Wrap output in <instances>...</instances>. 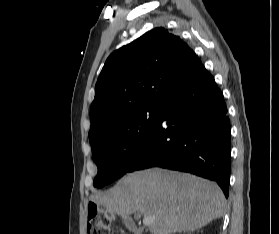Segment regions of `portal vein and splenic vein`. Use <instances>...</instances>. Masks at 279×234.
I'll list each match as a JSON object with an SVG mask.
<instances>
[{
  "label": "portal vein and splenic vein",
  "mask_w": 279,
  "mask_h": 234,
  "mask_svg": "<svg viewBox=\"0 0 279 234\" xmlns=\"http://www.w3.org/2000/svg\"><path fill=\"white\" fill-rule=\"evenodd\" d=\"M152 222H153V219L151 217L145 216L143 219L144 225H150V224H152Z\"/></svg>",
  "instance_id": "obj_1"
}]
</instances>
